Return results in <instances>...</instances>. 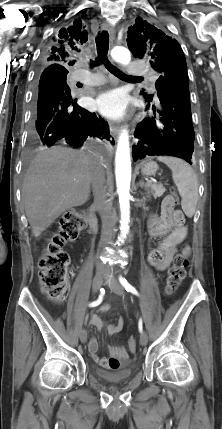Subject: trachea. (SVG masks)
I'll list each match as a JSON object with an SVG mask.
<instances>
[{"mask_svg": "<svg viewBox=\"0 0 222 429\" xmlns=\"http://www.w3.org/2000/svg\"><path fill=\"white\" fill-rule=\"evenodd\" d=\"M96 47H97V58L95 61H91V64L93 66H99L100 64H104L105 67L109 72H111L113 75L120 79H138L142 80L141 77L136 76H130L122 71H120L117 67L113 66L110 61L108 60L107 54L109 50V34L107 31H102V33H99L98 37L96 38Z\"/></svg>", "mask_w": 222, "mask_h": 429, "instance_id": "obj_1", "label": "trachea"}]
</instances>
